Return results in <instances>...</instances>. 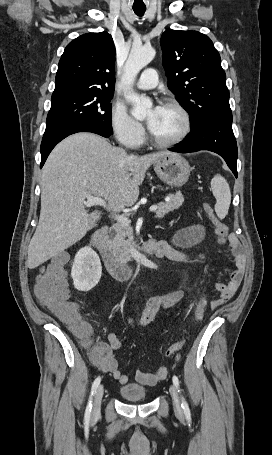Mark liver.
<instances>
[{"instance_id": "liver-1", "label": "liver", "mask_w": 272, "mask_h": 455, "mask_svg": "<svg viewBox=\"0 0 272 455\" xmlns=\"http://www.w3.org/2000/svg\"><path fill=\"white\" fill-rule=\"evenodd\" d=\"M170 154L174 153L129 156L92 133H77L60 142L42 170L40 218L28 247L27 266H40L94 227L102 212L88 213L87 194L104 198L114 212L133 206L147 169Z\"/></svg>"}]
</instances>
